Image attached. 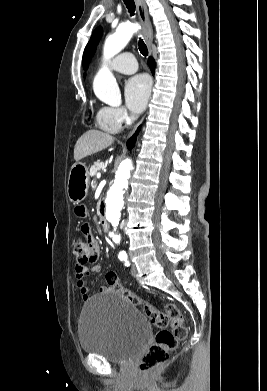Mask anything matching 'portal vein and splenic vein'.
Instances as JSON below:
<instances>
[{"label":"portal vein and splenic vein","instance_id":"1","mask_svg":"<svg viewBox=\"0 0 267 391\" xmlns=\"http://www.w3.org/2000/svg\"><path fill=\"white\" fill-rule=\"evenodd\" d=\"M100 176H101V173H97V178H100Z\"/></svg>","mask_w":267,"mask_h":391}]
</instances>
